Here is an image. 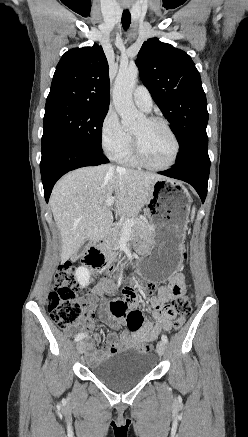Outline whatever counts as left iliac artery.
I'll use <instances>...</instances> for the list:
<instances>
[{"instance_id":"left-iliac-artery-1","label":"left iliac artery","mask_w":248,"mask_h":437,"mask_svg":"<svg viewBox=\"0 0 248 437\" xmlns=\"http://www.w3.org/2000/svg\"><path fill=\"white\" fill-rule=\"evenodd\" d=\"M161 339H162V341L165 342V343L168 342V338H167V336L164 335V334L161 336Z\"/></svg>"}]
</instances>
